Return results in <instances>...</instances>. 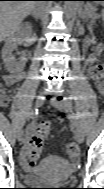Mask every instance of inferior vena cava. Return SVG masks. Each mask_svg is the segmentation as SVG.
Here are the masks:
<instances>
[{"instance_id":"602c4592","label":"inferior vena cava","mask_w":104,"mask_h":189,"mask_svg":"<svg viewBox=\"0 0 104 189\" xmlns=\"http://www.w3.org/2000/svg\"><path fill=\"white\" fill-rule=\"evenodd\" d=\"M45 6H46V2H44V1L36 2V5H35V7L33 9V15L36 18H40V17L44 16V14H45Z\"/></svg>"}]
</instances>
